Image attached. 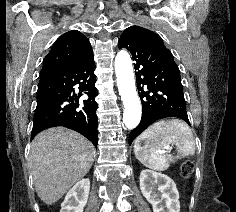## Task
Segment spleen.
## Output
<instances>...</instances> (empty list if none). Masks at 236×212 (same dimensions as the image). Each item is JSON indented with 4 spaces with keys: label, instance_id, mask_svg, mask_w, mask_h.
I'll return each instance as SVG.
<instances>
[{
    "label": "spleen",
    "instance_id": "1",
    "mask_svg": "<svg viewBox=\"0 0 236 212\" xmlns=\"http://www.w3.org/2000/svg\"><path fill=\"white\" fill-rule=\"evenodd\" d=\"M145 141L142 147L141 142ZM176 146L178 158L195 153V140L191 128L179 119L160 120L150 125L135 141L136 159L145 167L164 171L170 166L173 157L165 153Z\"/></svg>",
    "mask_w": 236,
    "mask_h": 212
}]
</instances>
